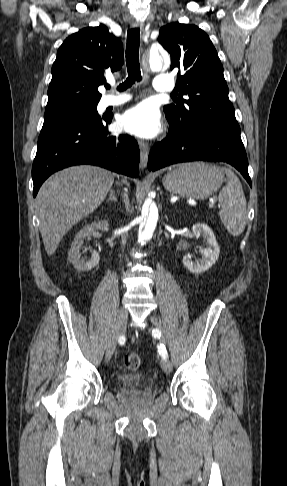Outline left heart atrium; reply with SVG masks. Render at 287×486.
<instances>
[{
    "label": "left heart atrium",
    "mask_w": 287,
    "mask_h": 486,
    "mask_svg": "<svg viewBox=\"0 0 287 486\" xmlns=\"http://www.w3.org/2000/svg\"><path fill=\"white\" fill-rule=\"evenodd\" d=\"M121 125L127 131L140 137H153L160 131L159 114L147 103L129 109L121 118Z\"/></svg>",
    "instance_id": "left-heart-atrium-1"
}]
</instances>
